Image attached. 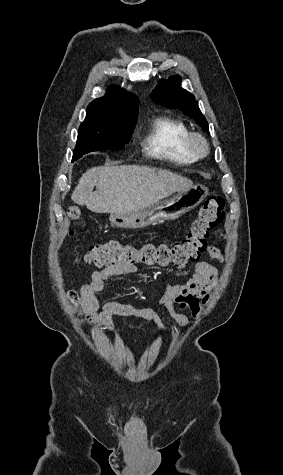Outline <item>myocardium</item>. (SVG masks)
I'll list each match as a JSON object with an SVG mask.
<instances>
[{"label":"myocardium","mask_w":283,"mask_h":475,"mask_svg":"<svg viewBox=\"0 0 283 475\" xmlns=\"http://www.w3.org/2000/svg\"><path fill=\"white\" fill-rule=\"evenodd\" d=\"M182 149H184L189 155L201 158L208 154L209 143L207 139L197 131H190L182 142ZM167 159L174 160L177 158V152L170 147H165L161 154Z\"/></svg>","instance_id":"f54148a6"}]
</instances>
